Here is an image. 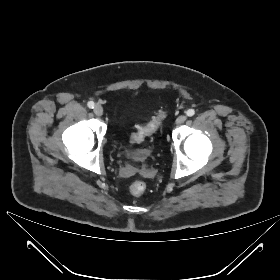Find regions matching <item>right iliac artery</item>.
<instances>
[{"label":"right iliac artery","mask_w":280,"mask_h":280,"mask_svg":"<svg viewBox=\"0 0 280 280\" xmlns=\"http://www.w3.org/2000/svg\"><path fill=\"white\" fill-rule=\"evenodd\" d=\"M88 107L89 108H91V109H93L94 108V106H95V104H94V102L93 101H90V102H88Z\"/></svg>","instance_id":"82829eb1"}]
</instances>
